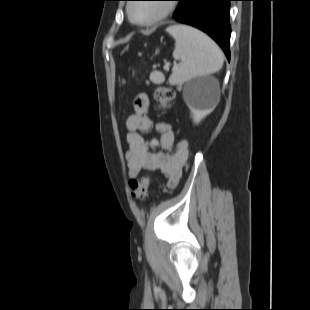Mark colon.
<instances>
[{
    "label": "colon",
    "instance_id": "colon-1",
    "mask_svg": "<svg viewBox=\"0 0 310 310\" xmlns=\"http://www.w3.org/2000/svg\"><path fill=\"white\" fill-rule=\"evenodd\" d=\"M163 75L159 72L151 74L150 83L157 85L155 89V99L161 108H167L171 105L175 92L173 89L163 86ZM151 186V178L148 175H143L138 179H133L129 183L130 192L136 199H142L148 193L149 187Z\"/></svg>",
    "mask_w": 310,
    "mask_h": 310
}]
</instances>
